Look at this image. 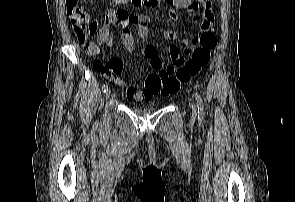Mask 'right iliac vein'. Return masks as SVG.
<instances>
[{
	"label": "right iliac vein",
	"instance_id": "obj_1",
	"mask_svg": "<svg viewBox=\"0 0 295 202\" xmlns=\"http://www.w3.org/2000/svg\"><path fill=\"white\" fill-rule=\"evenodd\" d=\"M110 93H111L110 90H107L106 91V93H105V98L106 99H108L110 97Z\"/></svg>",
	"mask_w": 295,
	"mask_h": 202
}]
</instances>
